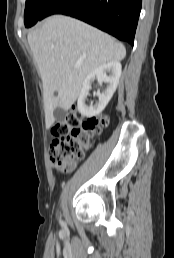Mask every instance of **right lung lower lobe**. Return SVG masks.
<instances>
[{"label":"right lung lower lobe","instance_id":"1","mask_svg":"<svg viewBox=\"0 0 174 258\" xmlns=\"http://www.w3.org/2000/svg\"><path fill=\"white\" fill-rule=\"evenodd\" d=\"M142 0H53L43 18L64 14L89 23L133 46Z\"/></svg>","mask_w":174,"mask_h":258}]
</instances>
